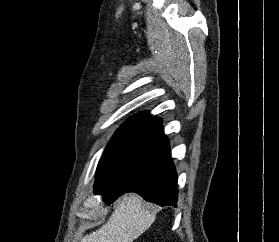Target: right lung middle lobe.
<instances>
[{
    "label": "right lung middle lobe",
    "mask_w": 279,
    "mask_h": 242,
    "mask_svg": "<svg viewBox=\"0 0 279 242\" xmlns=\"http://www.w3.org/2000/svg\"><path fill=\"white\" fill-rule=\"evenodd\" d=\"M162 128L159 118L134 115L122 125L105 149L97 167L96 183L111 175L121 164L151 141Z\"/></svg>",
    "instance_id": "dd1d6c3e"
}]
</instances>
